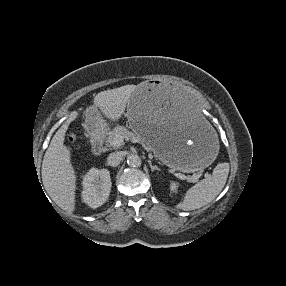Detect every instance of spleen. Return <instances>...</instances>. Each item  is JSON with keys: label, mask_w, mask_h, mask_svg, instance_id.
<instances>
[{"label": "spleen", "mask_w": 286, "mask_h": 286, "mask_svg": "<svg viewBox=\"0 0 286 286\" xmlns=\"http://www.w3.org/2000/svg\"><path fill=\"white\" fill-rule=\"evenodd\" d=\"M229 174V163H219L210 177L191 187L177 205L178 209L191 211L199 209L214 200L225 186Z\"/></svg>", "instance_id": "obj_1"}]
</instances>
